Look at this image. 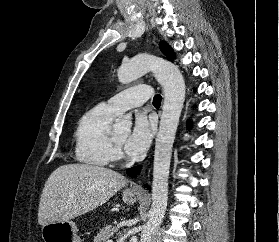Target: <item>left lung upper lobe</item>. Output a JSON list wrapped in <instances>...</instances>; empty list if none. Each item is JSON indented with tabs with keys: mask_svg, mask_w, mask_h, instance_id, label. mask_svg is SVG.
Masks as SVG:
<instances>
[{
	"mask_svg": "<svg viewBox=\"0 0 279 242\" xmlns=\"http://www.w3.org/2000/svg\"><path fill=\"white\" fill-rule=\"evenodd\" d=\"M160 49L167 57L172 58V59L175 58L173 50L167 43H165V42L160 43Z\"/></svg>",
	"mask_w": 279,
	"mask_h": 242,
	"instance_id": "5c2ea615",
	"label": "left lung upper lobe"
}]
</instances>
